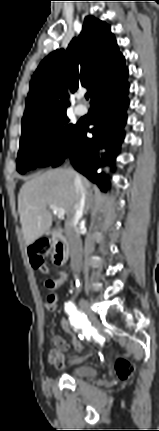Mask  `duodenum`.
<instances>
[{"mask_svg": "<svg viewBox=\"0 0 159 431\" xmlns=\"http://www.w3.org/2000/svg\"><path fill=\"white\" fill-rule=\"evenodd\" d=\"M51 242L54 248V263L57 266H61L66 262L69 255V246L67 240L61 233L54 232L51 236Z\"/></svg>", "mask_w": 159, "mask_h": 431, "instance_id": "1", "label": "duodenum"}]
</instances>
